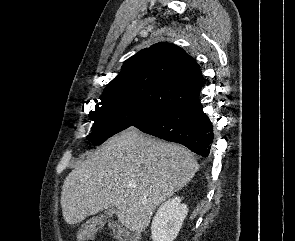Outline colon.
I'll return each mask as SVG.
<instances>
[{
    "instance_id": "5ec220e1",
    "label": "colon",
    "mask_w": 295,
    "mask_h": 241,
    "mask_svg": "<svg viewBox=\"0 0 295 241\" xmlns=\"http://www.w3.org/2000/svg\"><path fill=\"white\" fill-rule=\"evenodd\" d=\"M114 234L116 238L120 241H136L135 237L125 228L115 225L114 226ZM83 238H89L91 235V232H85L82 233Z\"/></svg>"
}]
</instances>
